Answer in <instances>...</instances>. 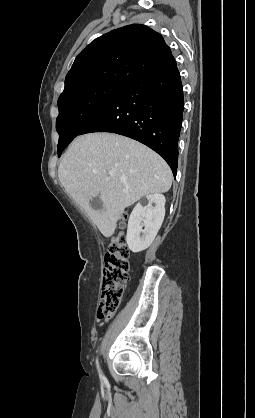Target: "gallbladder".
Listing matches in <instances>:
<instances>
[{"label":"gallbladder","mask_w":255,"mask_h":418,"mask_svg":"<svg viewBox=\"0 0 255 418\" xmlns=\"http://www.w3.org/2000/svg\"><path fill=\"white\" fill-rule=\"evenodd\" d=\"M90 205L94 210H101L104 207L99 195H97L91 200Z\"/></svg>","instance_id":"obj_1"}]
</instances>
